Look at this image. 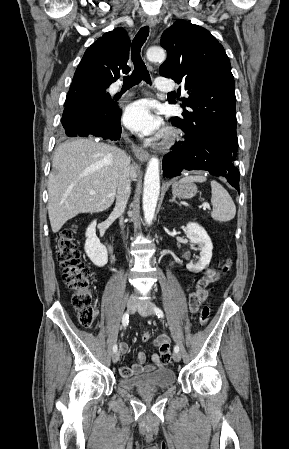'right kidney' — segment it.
I'll return each mask as SVG.
<instances>
[{"label":"right kidney","instance_id":"right-kidney-1","mask_svg":"<svg viewBox=\"0 0 289 449\" xmlns=\"http://www.w3.org/2000/svg\"><path fill=\"white\" fill-rule=\"evenodd\" d=\"M96 224L94 220L86 230L85 252L94 265L103 267L108 262V254L96 236Z\"/></svg>","mask_w":289,"mask_h":449}]
</instances>
